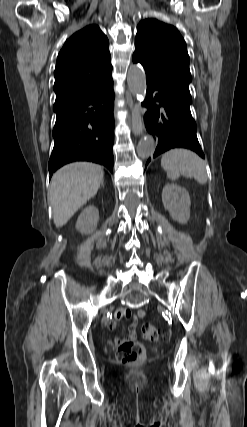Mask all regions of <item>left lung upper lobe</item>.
Wrapping results in <instances>:
<instances>
[{
  "label": "left lung upper lobe",
  "mask_w": 247,
  "mask_h": 427,
  "mask_svg": "<svg viewBox=\"0 0 247 427\" xmlns=\"http://www.w3.org/2000/svg\"><path fill=\"white\" fill-rule=\"evenodd\" d=\"M133 62L141 63L146 81L152 82L186 104H191V74L186 43L178 30L157 19L137 26Z\"/></svg>",
  "instance_id": "1"
}]
</instances>
